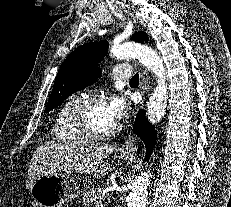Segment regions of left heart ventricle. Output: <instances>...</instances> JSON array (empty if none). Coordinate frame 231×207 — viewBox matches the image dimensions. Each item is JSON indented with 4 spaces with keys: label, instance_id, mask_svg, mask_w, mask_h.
Wrapping results in <instances>:
<instances>
[{
    "label": "left heart ventricle",
    "instance_id": "1",
    "mask_svg": "<svg viewBox=\"0 0 231 207\" xmlns=\"http://www.w3.org/2000/svg\"><path fill=\"white\" fill-rule=\"evenodd\" d=\"M86 122L89 127L98 133H103L117 123L106 109L105 103H98L92 105L86 113Z\"/></svg>",
    "mask_w": 231,
    "mask_h": 207
}]
</instances>
